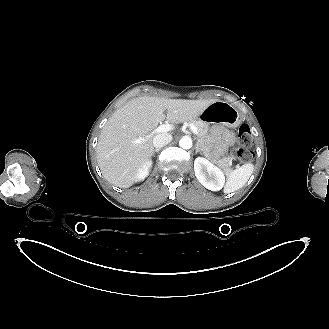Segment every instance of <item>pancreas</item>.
Wrapping results in <instances>:
<instances>
[{"mask_svg": "<svg viewBox=\"0 0 329 329\" xmlns=\"http://www.w3.org/2000/svg\"><path fill=\"white\" fill-rule=\"evenodd\" d=\"M189 124L195 126L199 133V140L198 145L201 147V149L204 150L205 156L214 164L220 166L224 171H229L232 166V159L230 157H223L221 158L218 154L215 152H211V148L208 145L207 141V135L209 131L208 124H206L203 121H187Z\"/></svg>", "mask_w": 329, "mask_h": 329, "instance_id": "pancreas-1", "label": "pancreas"}]
</instances>
